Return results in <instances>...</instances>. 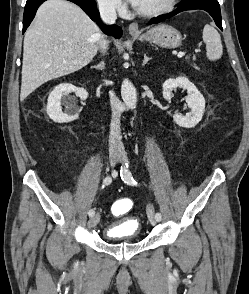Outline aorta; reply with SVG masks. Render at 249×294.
Listing matches in <instances>:
<instances>
[{
	"instance_id": "1",
	"label": "aorta",
	"mask_w": 249,
	"mask_h": 294,
	"mask_svg": "<svg viewBox=\"0 0 249 294\" xmlns=\"http://www.w3.org/2000/svg\"><path fill=\"white\" fill-rule=\"evenodd\" d=\"M121 96L129 109H135L137 104L136 88L131 81L124 79L121 85Z\"/></svg>"
}]
</instances>
